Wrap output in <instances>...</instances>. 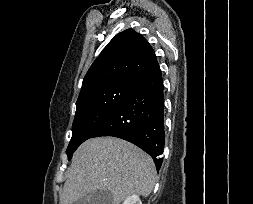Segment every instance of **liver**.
Here are the masks:
<instances>
[{
	"instance_id": "6515ba94",
	"label": "liver",
	"mask_w": 253,
	"mask_h": 204,
	"mask_svg": "<svg viewBox=\"0 0 253 204\" xmlns=\"http://www.w3.org/2000/svg\"><path fill=\"white\" fill-rule=\"evenodd\" d=\"M155 182L154 162L140 148L116 137L92 138L73 155L61 204H72L96 190H108L113 204H120L132 195L149 196Z\"/></svg>"
}]
</instances>
